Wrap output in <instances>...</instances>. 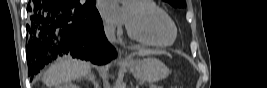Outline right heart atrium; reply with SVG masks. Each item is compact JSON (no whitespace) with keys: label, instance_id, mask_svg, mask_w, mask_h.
<instances>
[{"label":"right heart atrium","instance_id":"1","mask_svg":"<svg viewBox=\"0 0 267 88\" xmlns=\"http://www.w3.org/2000/svg\"><path fill=\"white\" fill-rule=\"evenodd\" d=\"M105 29H106V32L109 34L113 32V26L110 24H106Z\"/></svg>","mask_w":267,"mask_h":88}]
</instances>
